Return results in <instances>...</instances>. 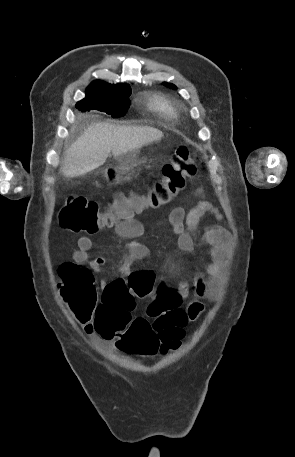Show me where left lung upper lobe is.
I'll list each match as a JSON object with an SVG mask.
<instances>
[{"instance_id":"obj_1","label":"left lung upper lobe","mask_w":295,"mask_h":457,"mask_svg":"<svg viewBox=\"0 0 295 457\" xmlns=\"http://www.w3.org/2000/svg\"><path fill=\"white\" fill-rule=\"evenodd\" d=\"M163 84H164L165 86L169 87V88L177 89V87H176L175 85L171 84V83H166V82H164Z\"/></svg>"}]
</instances>
